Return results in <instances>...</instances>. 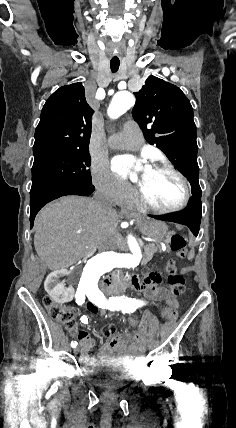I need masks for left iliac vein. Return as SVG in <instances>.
I'll list each match as a JSON object with an SVG mask.
<instances>
[{
	"label": "left iliac vein",
	"instance_id": "4c4485c4",
	"mask_svg": "<svg viewBox=\"0 0 236 428\" xmlns=\"http://www.w3.org/2000/svg\"><path fill=\"white\" fill-rule=\"evenodd\" d=\"M147 343H150L151 345H154L155 341L152 340V338H147Z\"/></svg>",
	"mask_w": 236,
	"mask_h": 428
}]
</instances>
